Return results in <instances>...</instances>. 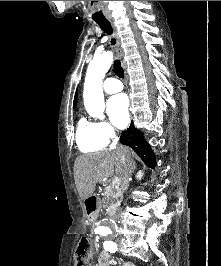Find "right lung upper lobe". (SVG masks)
Wrapping results in <instances>:
<instances>
[{"label": "right lung upper lobe", "instance_id": "right-lung-upper-lobe-1", "mask_svg": "<svg viewBox=\"0 0 221 266\" xmlns=\"http://www.w3.org/2000/svg\"><path fill=\"white\" fill-rule=\"evenodd\" d=\"M77 95H78V91H76L75 97H74V103H73V107L75 108L77 105Z\"/></svg>", "mask_w": 221, "mask_h": 266}]
</instances>
